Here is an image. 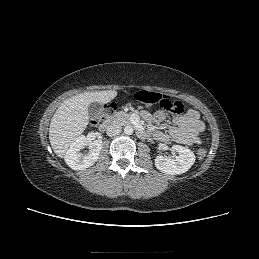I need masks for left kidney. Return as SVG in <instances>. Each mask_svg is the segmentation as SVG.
<instances>
[{
  "mask_svg": "<svg viewBox=\"0 0 259 259\" xmlns=\"http://www.w3.org/2000/svg\"><path fill=\"white\" fill-rule=\"evenodd\" d=\"M172 150L178 153L175 159L158 155L155 158V166L163 173L177 175L187 172L195 162L194 153L186 147L173 145Z\"/></svg>",
  "mask_w": 259,
  "mask_h": 259,
  "instance_id": "1",
  "label": "left kidney"
}]
</instances>
